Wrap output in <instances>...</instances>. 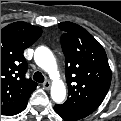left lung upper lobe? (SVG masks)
Wrapping results in <instances>:
<instances>
[{"instance_id": "5c2ea615", "label": "left lung upper lobe", "mask_w": 121, "mask_h": 121, "mask_svg": "<svg viewBox=\"0 0 121 121\" xmlns=\"http://www.w3.org/2000/svg\"><path fill=\"white\" fill-rule=\"evenodd\" d=\"M58 27L64 31L61 45L68 99L56 107L65 120L76 121L100 106L111 84V70L105 50L87 30L72 22H61Z\"/></svg>"}]
</instances>
